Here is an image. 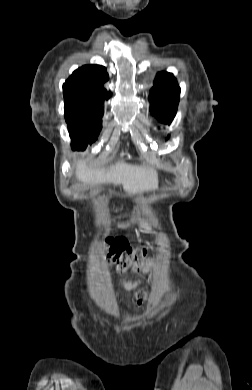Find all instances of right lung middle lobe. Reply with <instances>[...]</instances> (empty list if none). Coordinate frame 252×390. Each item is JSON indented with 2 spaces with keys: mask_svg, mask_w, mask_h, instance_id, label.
<instances>
[{
  "mask_svg": "<svg viewBox=\"0 0 252 390\" xmlns=\"http://www.w3.org/2000/svg\"><path fill=\"white\" fill-rule=\"evenodd\" d=\"M64 112L74 145L83 149L97 139L101 130L102 108H78Z\"/></svg>",
  "mask_w": 252,
  "mask_h": 390,
  "instance_id": "dd1d6c3e",
  "label": "right lung middle lobe"
}]
</instances>
